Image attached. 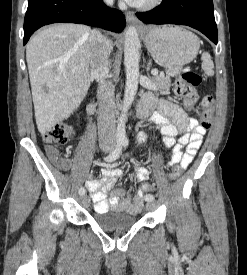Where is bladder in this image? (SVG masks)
I'll use <instances>...</instances> for the list:
<instances>
[{
  "label": "bladder",
  "instance_id": "obj_1",
  "mask_svg": "<svg viewBox=\"0 0 247 275\" xmlns=\"http://www.w3.org/2000/svg\"><path fill=\"white\" fill-rule=\"evenodd\" d=\"M94 221L100 228L107 231H127L138 222V218L127 213L106 211L97 212Z\"/></svg>",
  "mask_w": 247,
  "mask_h": 275
}]
</instances>
